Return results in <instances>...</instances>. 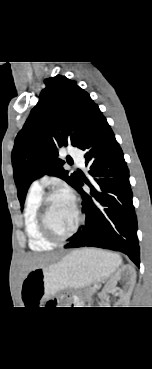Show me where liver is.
<instances>
[{"label":"liver","mask_w":152,"mask_h":369,"mask_svg":"<svg viewBox=\"0 0 152 369\" xmlns=\"http://www.w3.org/2000/svg\"><path fill=\"white\" fill-rule=\"evenodd\" d=\"M55 260L54 255L30 254L25 258V269L27 273L37 267H43ZM27 275V274H26ZM25 275V276H26Z\"/></svg>","instance_id":"obj_1"}]
</instances>
